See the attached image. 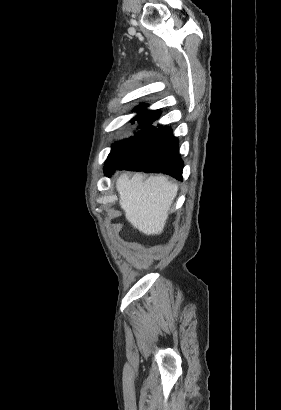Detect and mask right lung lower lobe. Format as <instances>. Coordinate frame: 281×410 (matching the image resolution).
<instances>
[{
  "instance_id": "98d812e1",
  "label": "right lung lower lobe",
  "mask_w": 281,
  "mask_h": 410,
  "mask_svg": "<svg viewBox=\"0 0 281 410\" xmlns=\"http://www.w3.org/2000/svg\"><path fill=\"white\" fill-rule=\"evenodd\" d=\"M178 147V139L173 136L171 128L159 125L105 175L110 177L116 170H131L161 172L182 180L183 161Z\"/></svg>"
}]
</instances>
